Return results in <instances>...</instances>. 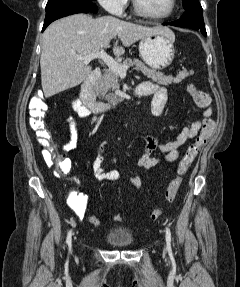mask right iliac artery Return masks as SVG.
Segmentation results:
<instances>
[{
  "instance_id": "obj_1",
  "label": "right iliac artery",
  "mask_w": 240,
  "mask_h": 287,
  "mask_svg": "<svg viewBox=\"0 0 240 287\" xmlns=\"http://www.w3.org/2000/svg\"><path fill=\"white\" fill-rule=\"evenodd\" d=\"M71 243H72V230L68 232L67 239H66V244L69 247V250H71Z\"/></svg>"
}]
</instances>
